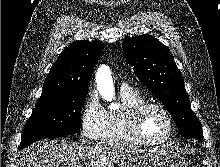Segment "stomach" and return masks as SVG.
I'll return each instance as SVG.
<instances>
[{"label":"stomach","instance_id":"1","mask_svg":"<svg viewBox=\"0 0 220 167\" xmlns=\"http://www.w3.org/2000/svg\"><path fill=\"white\" fill-rule=\"evenodd\" d=\"M119 167H189L182 156L165 147L130 149Z\"/></svg>","mask_w":220,"mask_h":167}]
</instances>
